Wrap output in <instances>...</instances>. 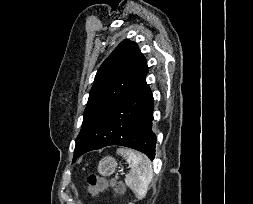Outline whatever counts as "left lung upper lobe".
Wrapping results in <instances>:
<instances>
[{
  "label": "left lung upper lobe",
  "mask_w": 253,
  "mask_h": 204,
  "mask_svg": "<svg viewBox=\"0 0 253 204\" xmlns=\"http://www.w3.org/2000/svg\"><path fill=\"white\" fill-rule=\"evenodd\" d=\"M148 74L147 61L135 42L124 40L97 71L84 111L74 154L81 150L90 125L127 98Z\"/></svg>",
  "instance_id": "obj_1"
}]
</instances>
